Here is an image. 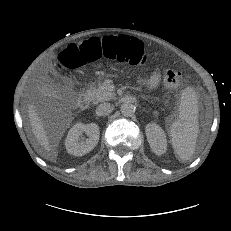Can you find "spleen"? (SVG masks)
Instances as JSON below:
<instances>
[{
    "instance_id": "1",
    "label": "spleen",
    "mask_w": 231,
    "mask_h": 231,
    "mask_svg": "<svg viewBox=\"0 0 231 231\" xmlns=\"http://www.w3.org/2000/svg\"><path fill=\"white\" fill-rule=\"evenodd\" d=\"M198 132V100L194 89L188 87L181 94L179 117L168 130L174 152L181 161L193 156Z\"/></svg>"
}]
</instances>
